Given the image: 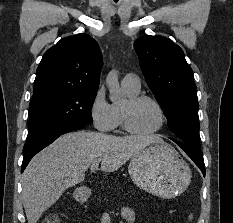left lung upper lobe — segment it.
<instances>
[{
	"label": "left lung upper lobe",
	"mask_w": 233,
	"mask_h": 223,
	"mask_svg": "<svg viewBox=\"0 0 233 223\" xmlns=\"http://www.w3.org/2000/svg\"><path fill=\"white\" fill-rule=\"evenodd\" d=\"M141 70L167 118L175 143L200 147L199 103L191 67L170 39L145 35L134 42Z\"/></svg>",
	"instance_id": "left-lung-upper-lobe-1"
}]
</instances>
